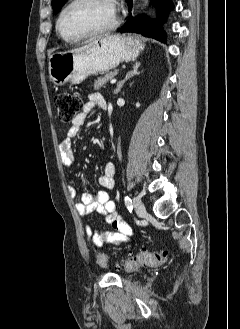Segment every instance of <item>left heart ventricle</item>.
I'll list each match as a JSON object with an SVG mask.
<instances>
[{
	"mask_svg": "<svg viewBox=\"0 0 240 329\" xmlns=\"http://www.w3.org/2000/svg\"><path fill=\"white\" fill-rule=\"evenodd\" d=\"M115 17V9L108 0H84L65 13L62 30L70 37L80 36L110 25Z\"/></svg>",
	"mask_w": 240,
	"mask_h": 329,
	"instance_id": "1",
	"label": "left heart ventricle"
}]
</instances>
